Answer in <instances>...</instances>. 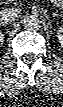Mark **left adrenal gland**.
<instances>
[{"label": "left adrenal gland", "instance_id": "a2214340", "mask_svg": "<svg viewBox=\"0 0 63 107\" xmlns=\"http://www.w3.org/2000/svg\"><path fill=\"white\" fill-rule=\"evenodd\" d=\"M52 15H53V17H62L61 14H57V13H53Z\"/></svg>", "mask_w": 63, "mask_h": 107}]
</instances>
